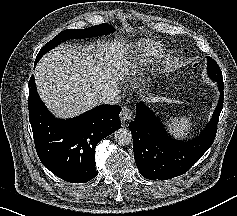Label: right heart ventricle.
Wrapping results in <instances>:
<instances>
[{"label": "right heart ventricle", "mask_w": 237, "mask_h": 216, "mask_svg": "<svg viewBox=\"0 0 237 216\" xmlns=\"http://www.w3.org/2000/svg\"><path fill=\"white\" fill-rule=\"evenodd\" d=\"M167 48L168 45L163 41L141 38L138 39L136 54L139 57L142 66L151 69Z\"/></svg>", "instance_id": "1"}]
</instances>
